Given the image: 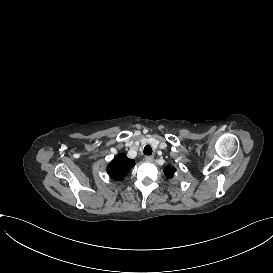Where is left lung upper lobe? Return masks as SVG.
Returning <instances> with one entry per match:
<instances>
[{
	"label": "left lung upper lobe",
	"instance_id": "left-lung-upper-lobe-1",
	"mask_svg": "<svg viewBox=\"0 0 273 273\" xmlns=\"http://www.w3.org/2000/svg\"><path fill=\"white\" fill-rule=\"evenodd\" d=\"M174 172H175V170L171 166H166L164 169V174L167 178H172L174 175Z\"/></svg>",
	"mask_w": 273,
	"mask_h": 273
}]
</instances>
